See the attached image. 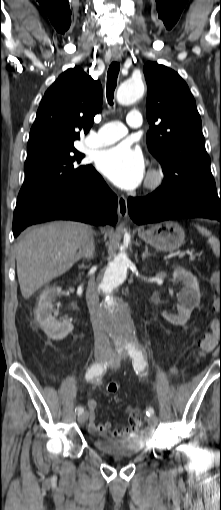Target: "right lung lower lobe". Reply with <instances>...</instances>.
Returning <instances> with one entry per match:
<instances>
[{"mask_svg": "<svg viewBox=\"0 0 221 510\" xmlns=\"http://www.w3.org/2000/svg\"><path fill=\"white\" fill-rule=\"evenodd\" d=\"M116 195L92 167L75 184L39 201L22 219L13 217L15 237L27 226L51 220H75L95 225H115Z\"/></svg>", "mask_w": 221, "mask_h": 510, "instance_id": "right-lung-lower-lobe-1", "label": "right lung lower lobe"}]
</instances>
